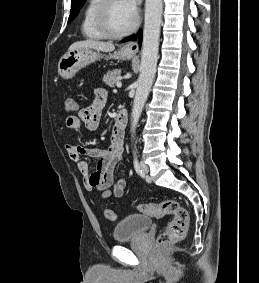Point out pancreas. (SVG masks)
<instances>
[{
  "mask_svg": "<svg viewBox=\"0 0 259 283\" xmlns=\"http://www.w3.org/2000/svg\"><path fill=\"white\" fill-rule=\"evenodd\" d=\"M120 75L121 71L118 69L108 71L103 77V82L110 87H114V85L119 81Z\"/></svg>",
  "mask_w": 259,
  "mask_h": 283,
  "instance_id": "cf45deb5",
  "label": "pancreas"
}]
</instances>
